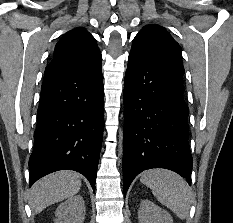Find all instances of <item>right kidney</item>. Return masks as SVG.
Instances as JSON below:
<instances>
[{
	"mask_svg": "<svg viewBox=\"0 0 233 223\" xmlns=\"http://www.w3.org/2000/svg\"><path fill=\"white\" fill-rule=\"evenodd\" d=\"M54 223H84L85 201L82 195H72L55 209Z\"/></svg>",
	"mask_w": 233,
	"mask_h": 223,
	"instance_id": "obj_1",
	"label": "right kidney"
}]
</instances>
